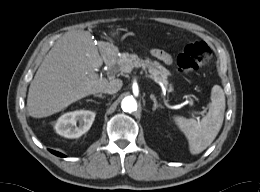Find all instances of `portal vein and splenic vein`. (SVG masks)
Here are the masks:
<instances>
[{
  "mask_svg": "<svg viewBox=\"0 0 260 192\" xmlns=\"http://www.w3.org/2000/svg\"><path fill=\"white\" fill-rule=\"evenodd\" d=\"M132 67H130V66H128V65H124V66H121L120 67V70L122 71V72H124V73H129V72H131L132 71Z\"/></svg>",
  "mask_w": 260,
  "mask_h": 192,
  "instance_id": "obj_1",
  "label": "portal vein and splenic vein"
}]
</instances>
